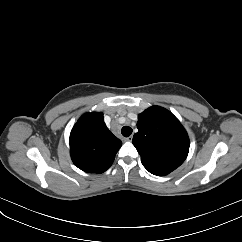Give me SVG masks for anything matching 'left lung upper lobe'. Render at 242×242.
<instances>
[{"label":"left lung upper lobe","instance_id":"1","mask_svg":"<svg viewBox=\"0 0 242 242\" xmlns=\"http://www.w3.org/2000/svg\"><path fill=\"white\" fill-rule=\"evenodd\" d=\"M137 128L132 143L150 173L164 176L184 162L189 151L188 135L170 111L160 106L146 109L138 116Z\"/></svg>","mask_w":242,"mask_h":242}]
</instances>
